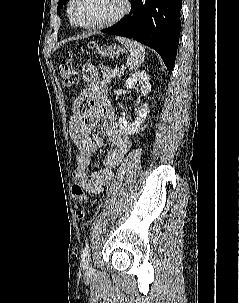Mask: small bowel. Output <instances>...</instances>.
<instances>
[{"label":"small bowel","instance_id":"small-bowel-1","mask_svg":"<svg viewBox=\"0 0 239 303\" xmlns=\"http://www.w3.org/2000/svg\"><path fill=\"white\" fill-rule=\"evenodd\" d=\"M85 85L74 103L72 118V140L76 146V168L73 172L74 184L88 193L101 195L113 181L114 169L129 151V136L117 124L112 107L107 99V89L97 70L90 64L83 66ZM88 108L80 112L82 104ZM100 125L107 136L110 147L107 150L104 167L91 175L88 167L93 154L104 145L103 139L92 133Z\"/></svg>","mask_w":239,"mask_h":303}]
</instances>
